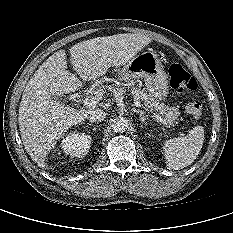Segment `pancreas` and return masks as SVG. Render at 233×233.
Returning <instances> with one entry per match:
<instances>
[{"label": "pancreas", "instance_id": "obj_1", "mask_svg": "<svg viewBox=\"0 0 233 233\" xmlns=\"http://www.w3.org/2000/svg\"><path fill=\"white\" fill-rule=\"evenodd\" d=\"M115 89L117 92H120L123 90V86H117ZM131 93L133 95V98L135 100L143 102L147 109L151 111L154 110L158 112L160 115H163L164 120L168 125L174 126L176 120L179 119L180 112L178 111L177 107H168L164 104H160L157 99L151 96V94L143 92L138 87H133Z\"/></svg>", "mask_w": 233, "mask_h": 233}]
</instances>
